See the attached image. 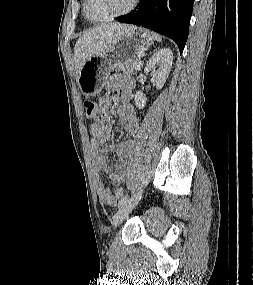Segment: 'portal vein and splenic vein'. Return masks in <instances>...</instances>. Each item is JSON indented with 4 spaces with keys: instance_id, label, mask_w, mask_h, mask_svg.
Listing matches in <instances>:
<instances>
[{
    "instance_id": "obj_1",
    "label": "portal vein and splenic vein",
    "mask_w": 253,
    "mask_h": 285,
    "mask_svg": "<svg viewBox=\"0 0 253 285\" xmlns=\"http://www.w3.org/2000/svg\"><path fill=\"white\" fill-rule=\"evenodd\" d=\"M136 70H140V64L136 65Z\"/></svg>"
}]
</instances>
